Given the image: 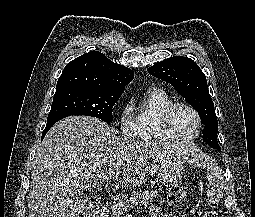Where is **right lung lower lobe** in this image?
Returning a JSON list of instances; mask_svg holds the SVG:
<instances>
[{
	"instance_id": "obj_1",
	"label": "right lung lower lobe",
	"mask_w": 255,
	"mask_h": 217,
	"mask_svg": "<svg viewBox=\"0 0 255 217\" xmlns=\"http://www.w3.org/2000/svg\"><path fill=\"white\" fill-rule=\"evenodd\" d=\"M65 117H67V116H66V115L57 116V117H55V118H53V119L47 121L46 127H45V129H44V131H43V133H42V140H43V138L45 137L46 133L49 131V129H50L56 122H58L59 120L65 118Z\"/></svg>"
}]
</instances>
